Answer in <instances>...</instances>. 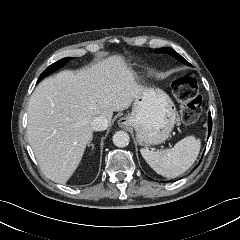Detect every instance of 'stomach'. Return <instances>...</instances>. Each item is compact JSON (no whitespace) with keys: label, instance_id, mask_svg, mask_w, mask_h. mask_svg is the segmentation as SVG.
Returning a JSON list of instances; mask_svg holds the SVG:
<instances>
[{"label":"stomach","instance_id":"0dacf381","mask_svg":"<svg viewBox=\"0 0 240 240\" xmlns=\"http://www.w3.org/2000/svg\"><path fill=\"white\" fill-rule=\"evenodd\" d=\"M176 108L161 89L142 88L135 97L126 124L136 131L141 145L160 144L170 136L176 122Z\"/></svg>","mask_w":240,"mask_h":240}]
</instances>
